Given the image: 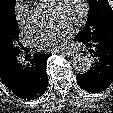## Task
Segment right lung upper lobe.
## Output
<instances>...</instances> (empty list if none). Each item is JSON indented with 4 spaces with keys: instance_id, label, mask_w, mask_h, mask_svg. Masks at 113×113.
<instances>
[{
    "instance_id": "cb5924a9",
    "label": "right lung upper lobe",
    "mask_w": 113,
    "mask_h": 113,
    "mask_svg": "<svg viewBox=\"0 0 113 113\" xmlns=\"http://www.w3.org/2000/svg\"><path fill=\"white\" fill-rule=\"evenodd\" d=\"M5 1V0H0V12H1V3ZM7 66V64L3 61L2 58H0V76L3 74L4 72V68Z\"/></svg>"
}]
</instances>
